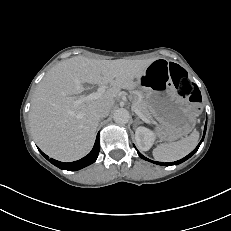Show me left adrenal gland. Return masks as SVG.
I'll return each instance as SVG.
<instances>
[{
    "label": "left adrenal gland",
    "instance_id": "obj_1",
    "mask_svg": "<svg viewBox=\"0 0 231 231\" xmlns=\"http://www.w3.org/2000/svg\"><path fill=\"white\" fill-rule=\"evenodd\" d=\"M137 123H142V122L140 121L139 117L136 118V124H137Z\"/></svg>",
    "mask_w": 231,
    "mask_h": 231
}]
</instances>
